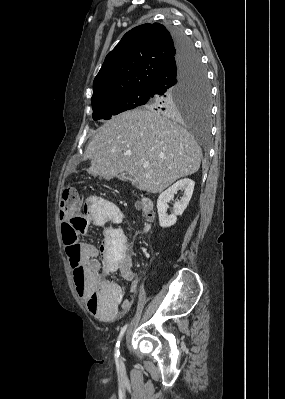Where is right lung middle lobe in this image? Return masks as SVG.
I'll return each instance as SVG.
<instances>
[{
    "label": "right lung middle lobe",
    "mask_w": 285,
    "mask_h": 399,
    "mask_svg": "<svg viewBox=\"0 0 285 399\" xmlns=\"http://www.w3.org/2000/svg\"><path fill=\"white\" fill-rule=\"evenodd\" d=\"M94 120L109 119L123 111L145 105L164 113L192 112L203 121L210 117V87L199 56L186 69L180 82L165 96L150 89H131L91 100Z\"/></svg>",
    "instance_id": "1"
}]
</instances>
